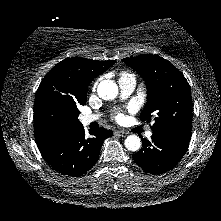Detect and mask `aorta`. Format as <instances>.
<instances>
[{
	"instance_id": "aorta-1",
	"label": "aorta",
	"mask_w": 221,
	"mask_h": 221,
	"mask_svg": "<svg viewBox=\"0 0 221 221\" xmlns=\"http://www.w3.org/2000/svg\"><path fill=\"white\" fill-rule=\"evenodd\" d=\"M119 92L117 84L112 80H103L99 83L97 93L104 100H112ZM125 146L130 151H137L141 147V140L136 135H130L125 139Z\"/></svg>"
}]
</instances>
